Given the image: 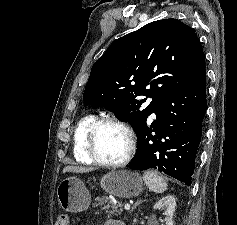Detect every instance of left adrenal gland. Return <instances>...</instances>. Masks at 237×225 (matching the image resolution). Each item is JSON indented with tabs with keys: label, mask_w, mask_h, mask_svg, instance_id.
<instances>
[{
	"label": "left adrenal gland",
	"mask_w": 237,
	"mask_h": 225,
	"mask_svg": "<svg viewBox=\"0 0 237 225\" xmlns=\"http://www.w3.org/2000/svg\"><path fill=\"white\" fill-rule=\"evenodd\" d=\"M143 202L142 200H139L136 202V204L133 206L132 211L141 203Z\"/></svg>",
	"instance_id": "left-adrenal-gland-1"
}]
</instances>
